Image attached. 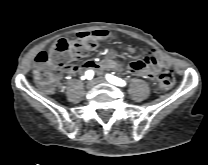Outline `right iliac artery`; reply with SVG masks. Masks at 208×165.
I'll use <instances>...</instances> for the list:
<instances>
[{
  "label": "right iliac artery",
  "mask_w": 208,
  "mask_h": 165,
  "mask_svg": "<svg viewBox=\"0 0 208 165\" xmlns=\"http://www.w3.org/2000/svg\"><path fill=\"white\" fill-rule=\"evenodd\" d=\"M93 75H94L93 71H92V70H88V71L86 72V74H85V77H86L88 80H90V79L93 78Z\"/></svg>",
  "instance_id": "1"
}]
</instances>
